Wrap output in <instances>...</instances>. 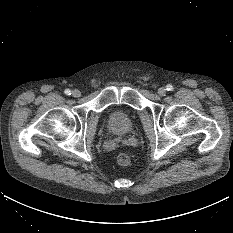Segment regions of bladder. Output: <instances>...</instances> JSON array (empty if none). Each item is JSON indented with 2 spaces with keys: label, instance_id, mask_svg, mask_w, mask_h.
<instances>
[{
  "label": "bladder",
  "instance_id": "bladder-1",
  "mask_svg": "<svg viewBox=\"0 0 233 233\" xmlns=\"http://www.w3.org/2000/svg\"><path fill=\"white\" fill-rule=\"evenodd\" d=\"M108 125L113 135L123 136L131 132L133 128V119L123 110L113 109L109 113Z\"/></svg>",
  "mask_w": 233,
  "mask_h": 233
}]
</instances>
